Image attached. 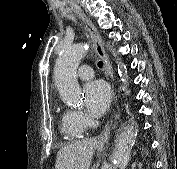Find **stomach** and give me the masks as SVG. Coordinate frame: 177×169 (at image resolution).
Returning <instances> with one entry per match:
<instances>
[{"instance_id": "obj_1", "label": "stomach", "mask_w": 177, "mask_h": 169, "mask_svg": "<svg viewBox=\"0 0 177 169\" xmlns=\"http://www.w3.org/2000/svg\"><path fill=\"white\" fill-rule=\"evenodd\" d=\"M103 149V144L98 148L99 151H101ZM94 169V168H92Z\"/></svg>"}]
</instances>
